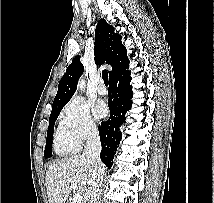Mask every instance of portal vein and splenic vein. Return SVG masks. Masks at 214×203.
Instances as JSON below:
<instances>
[{
    "instance_id": "1",
    "label": "portal vein and splenic vein",
    "mask_w": 214,
    "mask_h": 203,
    "mask_svg": "<svg viewBox=\"0 0 214 203\" xmlns=\"http://www.w3.org/2000/svg\"><path fill=\"white\" fill-rule=\"evenodd\" d=\"M70 186H71V188L72 189H74V190H77L78 189V185L76 184V183H74V182H71V184H70ZM82 196L81 195H75L74 197H73V200H72V202L71 203H81L82 202Z\"/></svg>"
}]
</instances>
